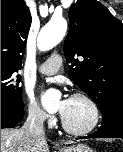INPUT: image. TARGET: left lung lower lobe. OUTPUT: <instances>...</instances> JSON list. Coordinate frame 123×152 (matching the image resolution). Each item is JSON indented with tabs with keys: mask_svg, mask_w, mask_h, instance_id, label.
Instances as JSON below:
<instances>
[{
	"mask_svg": "<svg viewBox=\"0 0 123 152\" xmlns=\"http://www.w3.org/2000/svg\"><path fill=\"white\" fill-rule=\"evenodd\" d=\"M102 114L103 122L100 129L80 139L113 137L123 139V103L110 105Z\"/></svg>",
	"mask_w": 123,
	"mask_h": 152,
	"instance_id": "0a47b994",
	"label": "left lung lower lobe"
}]
</instances>
